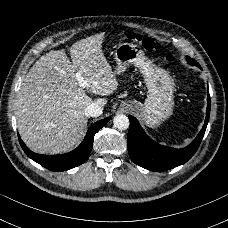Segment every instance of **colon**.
<instances>
[{"label": "colon", "mask_w": 228, "mask_h": 228, "mask_svg": "<svg viewBox=\"0 0 228 228\" xmlns=\"http://www.w3.org/2000/svg\"><path fill=\"white\" fill-rule=\"evenodd\" d=\"M123 38L141 45L146 50H159L161 48L158 42L154 41L151 38L144 37L141 34H138L135 32L123 34ZM173 59H174L173 55H167L166 57L167 61L173 60Z\"/></svg>", "instance_id": "1"}]
</instances>
